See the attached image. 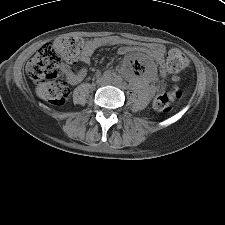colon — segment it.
<instances>
[{
  "instance_id": "obj_1",
  "label": "colon",
  "mask_w": 225,
  "mask_h": 225,
  "mask_svg": "<svg viewBox=\"0 0 225 225\" xmlns=\"http://www.w3.org/2000/svg\"><path fill=\"white\" fill-rule=\"evenodd\" d=\"M81 50V39L63 36L54 42L46 43L38 50L26 66L29 79L37 83L38 95L53 105H63L70 93L67 83L60 78L64 64L77 61ZM188 64L186 55L178 50H171L167 55L166 71L176 73ZM183 92L175 87L169 92L158 94L153 102L158 111H170L182 98Z\"/></svg>"
}]
</instances>
